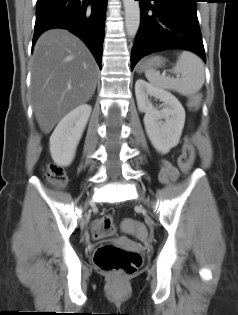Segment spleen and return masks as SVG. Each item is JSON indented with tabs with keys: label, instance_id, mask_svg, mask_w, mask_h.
I'll list each match as a JSON object with an SVG mask.
<instances>
[{
	"label": "spleen",
	"instance_id": "1",
	"mask_svg": "<svg viewBox=\"0 0 238 315\" xmlns=\"http://www.w3.org/2000/svg\"><path fill=\"white\" fill-rule=\"evenodd\" d=\"M173 73L181 74V78L166 77L153 69L145 71L146 78L153 86L176 91L185 96L197 93L205 81L203 61L196 54L189 51H183L179 55Z\"/></svg>",
	"mask_w": 238,
	"mask_h": 315
}]
</instances>
